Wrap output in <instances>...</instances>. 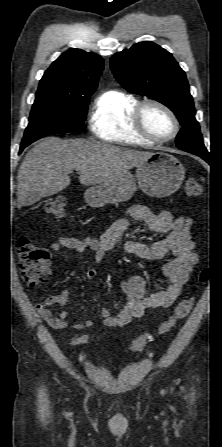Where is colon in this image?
Here are the masks:
<instances>
[{
	"label": "colon",
	"mask_w": 222,
	"mask_h": 447,
	"mask_svg": "<svg viewBox=\"0 0 222 447\" xmlns=\"http://www.w3.org/2000/svg\"><path fill=\"white\" fill-rule=\"evenodd\" d=\"M185 192L189 197L198 196L201 193V186L196 179L190 178L186 182ZM44 211L54 218L66 217L67 199L65 197H55L47 201L44 205ZM17 252L21 276L28 286L34 287L49 279L51 253L46 247L36 245L27 238H20L17 242ZM210 277V270L205 268L202 271L200 280L202 283H207ZM194 302V298L181 300L175 306L173 312L159 323L154 330L144 332L136 337L130 345V350L135 353L140 352L153 335L169 332L190 313Z\"/></svg>",
	"instance_id": "obj_1"
}]
</instances>
